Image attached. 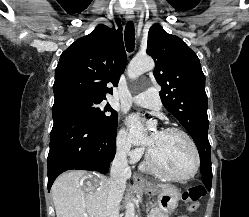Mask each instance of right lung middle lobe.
<instances>
[{"mask_svg":"<svg viewBox=\"0 0 249 217\" xmlns=\"http://www.w3.org/2000/svg\"><path fill=\"white\" fill-rule=\"evenodd\" d=\"M102 101L103 99L81 92L68 91L55 95L53 106L68 107L93 127L103 131H114L117 129L118 114L109 104L105 107L101 106Z\"/></svg>","mask_w":249,"mask_h":217,"instance_id":"right-lung-middle-lobe-1","label":"right lung middle lobe"}]
</instances>
